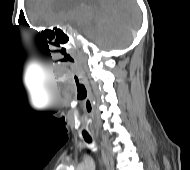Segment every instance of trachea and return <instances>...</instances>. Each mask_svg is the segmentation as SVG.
<instances>
[{"mask_svg":"<svg viewBox=\"0 0 190 170\" xmlns=\"http://www.w3.org/2000/svg\"><path fill=\"white\" fill-rule=\"evenodd\" d=\"M84 140L87 142V143H91L92 142V138L90 136H84Z\"/></svg>","mask_w":190,"mask_h":170,"instance_id":"3493384b","label":"trachea"}]
</instances>
